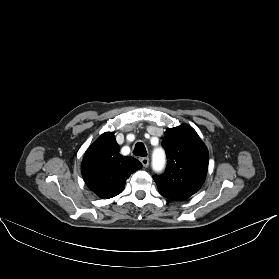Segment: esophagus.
<instances>
[{"label":"esophagus","instance_id":"esophagus-1","mask_svg":"<svg viewBox=\"0 0 279 279\" xmlns=\"http://www.w3.org/2000/svg\"><path fill=\"white\" fill-rule=\"evenodd\" d=\"M140 161H141L142 165H143L145 168L148 167V165H149V158H147V157H142V158H140Z\"/></svg>","mask_w":279,"mask_h":279}]
</instances>
